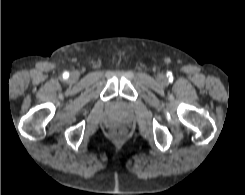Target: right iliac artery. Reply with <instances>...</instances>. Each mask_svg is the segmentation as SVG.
<instances>
[{"instance_id":"obj_1","label":"right iliac artery","mask_w":245,"mask_h":195,"mask_svg":"<svg viewBox=\"0 0 245 195\" xmlns=\"http://www.w3.org/2000/svg\"><path fill=\"white\" fill-rule=\"evenodd\" d=\"M63 76H64L65 78H68V77H69V73H68V72H65Z\"/></svg>"}]
</instances>
